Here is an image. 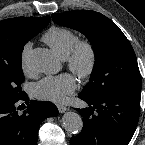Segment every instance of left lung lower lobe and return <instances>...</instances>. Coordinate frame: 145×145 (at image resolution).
Listing matches in <instances>:
<instances>
[{"mask_svg": "<svg viewBox=\"0 0 145 145\" xmlns=\"http://www.w3.org/2000/svg\"><path fill=\"white\" fill-rule=\"evenodd\" d=\"M89 107L78 109L83 117L82 131L70 145H128L139 119L141 90L114 92L102 97L80 93Z\"/></svg>", "mask_w": 145, "mask_h": 145, "instance_id": "0a47b994", "label": "left lung lower lobe"}]
</instances>
